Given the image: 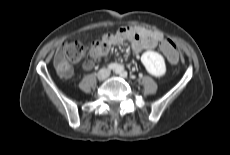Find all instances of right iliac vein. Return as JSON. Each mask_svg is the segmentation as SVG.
<instances>
[{
	"instance_id": "63e3f726",
	"label": "right iliac vein",
	"mask_w": 230,
	"mask_h": 155,
	"mask_svg": "<svg viewBox=\"0 0 230 155\" xmlns=\"http://www.w3.org/2000/svg\"><path fill=\"white\" fill-rule=\"evenodd\" d=\"M104 78H105L104 72L99 73L98 79H99V80H103Z\"/></svg>"
}]
</instances>
